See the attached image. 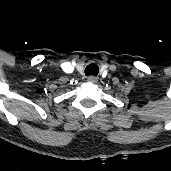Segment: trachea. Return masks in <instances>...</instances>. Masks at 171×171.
Wrapping results in <instances>:
<instances>
[{"instance_id": "1", "label": "trachea", "mask_w": 171, "mask_h": 171, "mask_svg": "<svg viewBox=\"0 0 171 171\" xmlns=\"http://www.w3.org/2000/svg\"><path fill=\"white\" fill-rule=\"evenodd\" d=\"M98 72H99V67L95 63H91L87 65V67L85 68L86 76L89 75L97 76Z\"/></svg>"}]
</instances>
